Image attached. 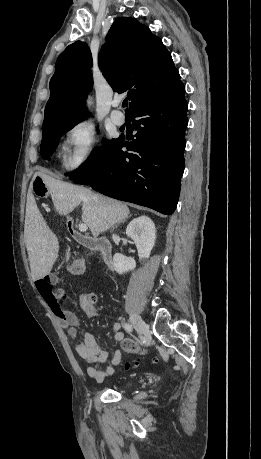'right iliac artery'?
<instances>
[{"label": "right iliac artery", "instance_id": "82829eb1", "mask_svg": "<svg viewBox=\"0 0 261 459\" xmlns=\"http://www.w3.org/2000/svg\"><path fill=\"white\" fill-rule=\"evenodd\" d=\"M124 329H125L128 333L132 332V330H133L132 325L129 324V323H125V324H124Z\"/></svg>", "mask_w": 261, "mask_h": 459}]
</instances>
